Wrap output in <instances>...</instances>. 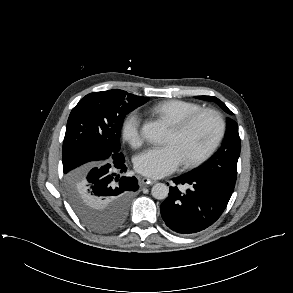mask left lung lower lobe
Returning a JSON list of instances; mask_svg holds the SVG:
<instances>
[{
	"mask_svg": "<svg viewBox=\"0 0 293 293\" xmlns=\"http://www.w3.org/2000/svg\"><path fill=\"white\" fill-rule=\"evenodd\" d=\"M178 184H189L191 189L181 193L170 187L169 197L160 210L166 225L180 234H192L212 225L226 208L235 185L213 176L194 172L174 178Z\"/></svg>",
	"mask_w": 293,
	"mask_h": 293,
	"instance_id": "left-lung-lower-lobe-1",
	"label": "left lung lower lobe"
}]
</instances>
